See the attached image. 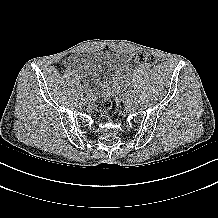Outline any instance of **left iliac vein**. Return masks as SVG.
I'll list each match as a JSON object with an SVG mask.
<instances>
[{"instance_id":"4c4485c4","label":"left iliac vein","mask_w":218,"mask_h":218,"mask_svg":"<svg viewBox=\"0 0 218 218\" xmlns=\"http://www.w3.org/2000/svg\"><path fill=\"white\" fill-rule=\"evenodd\" d=\"M128 106H133V100H128Z\"/></svg>"}]
</instances>
